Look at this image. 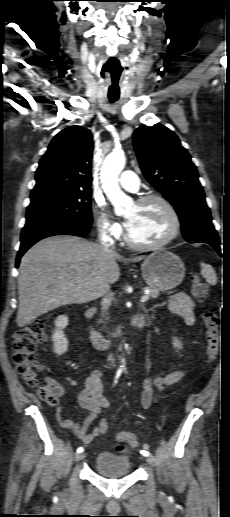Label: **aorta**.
I'll use <instances>...</instances> for the list:
<instances>
[{
	"instance_id": "aorta-1",
	"label": "aorta",
	"mask_w": 230,
	"mask_h": 517,
	"mask_svg": "<svg viewBox=\"0 0 230 517\" xmlns=\"http://www.w3.org/2000/svg\"><path fill=\"white\" fill-rule=\"evenodd\" d=\"M125 162L124 153L120 150H114L106 157L100 173L103 191L113 204L116 213H119L129 201L118 184V177L125 166Z\"/></svg>"
}]
</instances>
